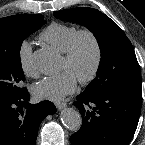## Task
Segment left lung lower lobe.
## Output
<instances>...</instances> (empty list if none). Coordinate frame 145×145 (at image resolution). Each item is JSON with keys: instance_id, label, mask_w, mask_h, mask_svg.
Segmentation results:
<instances>
[{"instance_id": "obj_1", "label": "left lung lower lobe", "mask_w": 145, "mask_h": 145, "mask_svg": "<svg viewBox=\"0 0 145 145\" xmlns=\"http://www.w3.org/2000/svg\"><path fill=\"white\" fill-rule=\"evenodd\" d=\"M73 104L83 123L71 135L72 145H128L139 121L142 86L120 88L103 94L82 92Z\"/></svg>"}]
</instances>
